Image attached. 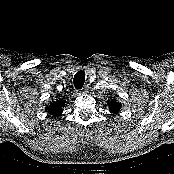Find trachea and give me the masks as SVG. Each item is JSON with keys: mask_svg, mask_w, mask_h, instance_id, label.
Wrapping results in <instances>:
<instances>
[{"mask_svg": "<svg viewBox=\"0 0 174 174\" xmlns=\"http://www.w3.org/2000/svg\"><path fill=\"white\" fill-rule=\"evenodd\" d=\"M85 82V72L84 71H78L73 79L74 87L76 89H82Z\"/></svg>", "mask_w": 174, "mask_h": 174, "instance_id": "1", "label": "trachea"}]
</instances>
